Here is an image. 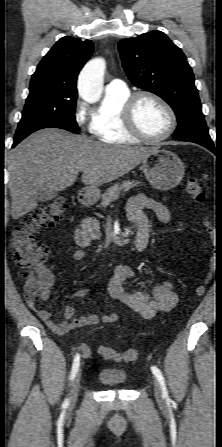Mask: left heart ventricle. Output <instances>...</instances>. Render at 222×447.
<instances>
[{"instance_id":"1","label":"left heart ventricle","mask_w":222,"mask_h":447,"mask_svg":"<svg viewBox=\"0 0 222 447\" xmlns=\"http://www.w3.org/2000/svg\"><path fill=\"white\" fill-rule=\"evenodd\" d=\"M138 127L150 137L163 135L169 127V117L165 109L150 98H142L135 109Z\"/></svg>"}]
</instances>
